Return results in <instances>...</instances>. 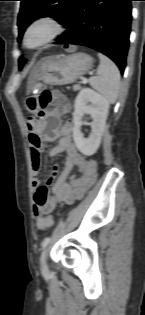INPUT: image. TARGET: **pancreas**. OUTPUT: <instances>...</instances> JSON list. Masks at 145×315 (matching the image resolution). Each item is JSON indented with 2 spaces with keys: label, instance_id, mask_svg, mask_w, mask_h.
<instances>
[{
  "label": "pancreas",
  "instance_id": "1",
  "mask_svg": "<svg viewBox=\"0 0 145 315\" xmlns=\"http://www.w3.org/2000/svg\"><path fill=\"white\" fill-rule=\"evenodd\" d=\"M73 89H74V91L80 90L81 86L76 84L73 86Z\"/></svg>",
  "mask_w": 145,
  "mask_h": 315
}]
</instances>
